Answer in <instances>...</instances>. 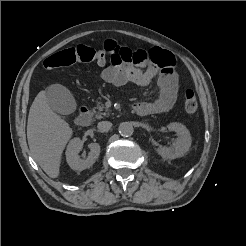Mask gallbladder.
<instances>
[{
	"label": "gallbladder",
	"mask_w": 246,
	"mask_h": 246,
	"mask_svg": "<svg viewBox=\"0 0 246 246\" xmlns=\"http://www.w3.org/2000/svg\"><path fill=\"white\" fill-rule=\"evenodd\" d=\"M45 94L50 108L55 113L68 115L76 110V101L66 87L53 84L46 89Z\"/></svg>",
	"instance_id": "gallbladder-1"
}]
</instances>
